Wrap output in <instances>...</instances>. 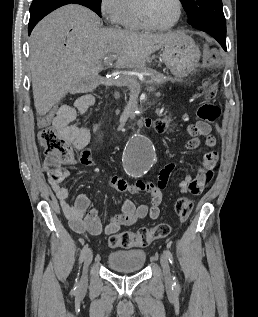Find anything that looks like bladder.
Here are the masks:
<instances>
[{
    "label": "bladder",
    "instance_id": "obj_1",
    "mask_svg": "<svg viewBox=\"0 0 258 317\" xmlns=\"http://www.w3.org/2000/svg\"><path fill=\"white\" fill-rule=\"evenodd\" d=\"M145 262L146 252L140 249L112 251L107 256L108 266L123 272L139 271Z\"/></svg>",
    "mask_w": 258,
    "mask_h": 317
}]
</instances>
